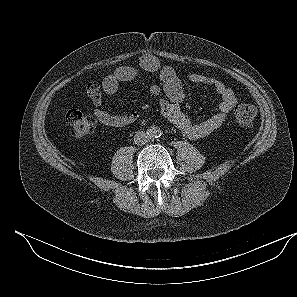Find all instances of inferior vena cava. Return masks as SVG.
<instances>
[{
	"mask_svg": "<svg viewBox=\"0 0 297 297\" xmlns=\"http://www.w3.org/2000/svg\"><path fill=\"white\" fill-rule=\"evenodd\" d=\"M149 139L150 136L145 131H139L134 135V142L137 145H144L149 141Z\"/></svg>",
	"mask_w": 297,
	"mask_h": 297,
	"instance_id": "obj_1",
	"label": "inferior vena cava"
}]
</instances>
